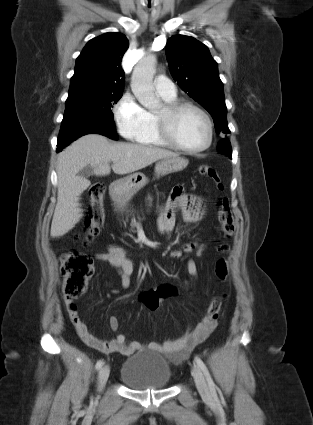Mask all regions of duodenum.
Masks as SVG:
<instances>
[{
  "label": "duodenum",
  "mask_w": 313,
  "mask_h": 425,
  "mask_svg": "<svg viewBox=\"0 0 313 425\" xmlns=\"http://www.w3.org/2000/svg\"><path fill=\"white\" fill-rule=\"evenodd\" d=\"M117 190H118V184L114 183V184L111 186V193H112V194H116Z\"/></svg>",
  "instance_id": "obj_1"
}]
</instances>
